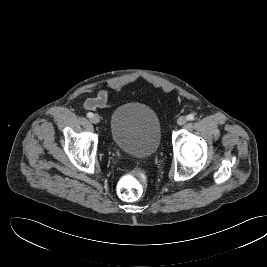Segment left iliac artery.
<instances>
[{
  "label": "left iliac artery",
  "mask_w": 267,
  "mask_h": 267,
  "mask_svg": "<svg viewBox=\"0 0 267 267\" xmlns=\"http://www.w3.org/2000/svg\"><path fill=\"white\" fill-rule=\"evenodd\" d=\"M194 115L193 114H189L188 116H187V120H189V121H192V120H194Z\"/></svg>",
  "instance_id": "44dca946"
}]
</instances>
